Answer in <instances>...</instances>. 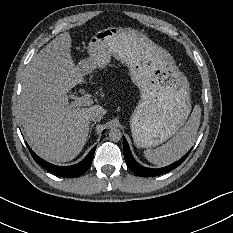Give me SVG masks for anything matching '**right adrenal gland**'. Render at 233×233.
I'll return each instance as SVG.
<instances>
[{"mask_svg": "<svg viewBox=\"0 0 233 233\" xmlns=\"http://www.w3.org/2000/svg\"><path fill=\"white\" fill-rule=\"evenodd\" d=\"M94 125H95V123H92V124L90 125V134H91V132H92V128H93ZM90 134H89L88 139L90 138Z\"/></svg>", "mask_w": 233, "mask_h": 233, "instance_id": "obj_1", "label": "right adrenal gland"}]
</instances>
